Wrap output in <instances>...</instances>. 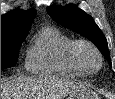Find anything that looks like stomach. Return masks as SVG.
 <instances>
[{
	"instance_id": "obj_1",
	"label": "stomach",
	"mask_w": 115,
	"mask_h": 99,
	"mask_svg": "<svg viewBox=\"0 0 115 99\" xmlns=\"http://www.w3.org/2000/svg\"><path fill=\"white\" fill-rule=\"evenodd\" d=\"M67 99H100L93 90L83 87L71 92Z\"/></svg>"
}]
</instances>
